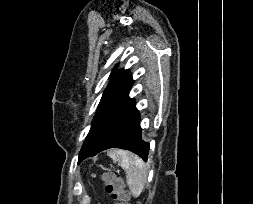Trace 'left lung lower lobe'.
<instances>
[{
  "instance_id": "0a47b994",
  "label": "left lung lower lobe",
  "mask_w": 253,
  "mask_h": 204,
  "mask_svg": "<svg viewBox=\"0 0 253 204\" xmlns=\"http://www.w3.org/2000/svg\"><path fill=\"white\" fill-rule=\"evenodd\" d=\"M139 122V111L134 99L129 97L96 116L79 153L78 163L109 148L130 150L147 161L149 144L141 139Z\"/></svg>"
}]
</instances>
